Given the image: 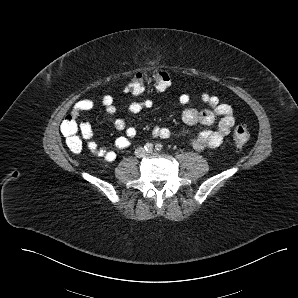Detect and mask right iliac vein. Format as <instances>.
I'll use <instances>...</instances> for the list:
<instances>
[{
  "label": "right iliac vein",
  "mask_w": 298,
  "mask_h": 298,
  "mask_svg": "<svg viewBox=\"0 0 298 298\" xmlns=\"http://www.w3.org/2000/svg\"><path fill=\"white\" fill-rule=\"evenodd\" d=\"M136 153H137V155H139V156H144V155H145V151H144V149H142V148L138 149Z\"/></svg>",
  "instance_id": "1"
}]
</instances>
